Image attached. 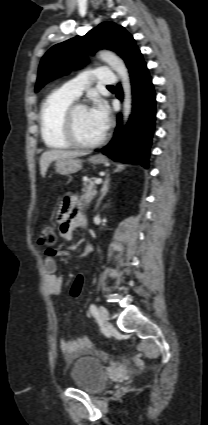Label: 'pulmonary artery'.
Masks as SVG:
<instances>
[{"mask_svg":"<svg viewBox=\"0 0 208 425\" xmlns=\"http://www.w3.org/2000/svg\"><path fill=\"white\" fill-rule=\"evenodd\" d=\"M92 81L113 85L116 83V76L109 68L100 67L92 71H86L80 76L67 81L60 90L71 98L77 99Z\"/></svg>","mask_w":208,"mask_h":425,"instance_id":"pulmonary-artery-1","label":"pulmonary artery"}]
</instances>
